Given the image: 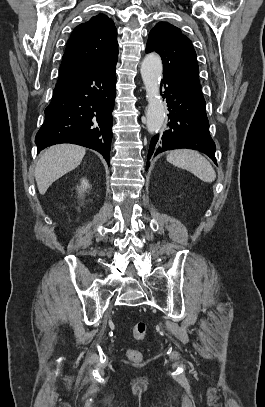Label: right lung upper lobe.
<instances>
[{
	"instance_id": "cb5924a9",
	"label": "right lung upper lobe",
	"mask_w": 265,
	"mask_h": 407,
	"mask_svg": "<svg viewBox=\"0 0 265 407\" xmlns=\"http://www.w3.org/2000/svg\"><path fill=\"white\" fill-rule=\"evenodd\" d=\"M117 58L118 42L114 22L108 16L98 14L73 30L56 85L73 81Z\"/></svg>"
}]
</instances>
